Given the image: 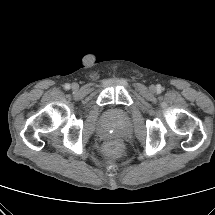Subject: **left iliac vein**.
Wrapping results in <instances>:
<instances>
[{
    "instance_id": "left-iliac-vein-1",
    "label": "left iliac vein",
    "mask_w": 215,
    "mask_h": 215,
    "mask_svg": "<svg viewBox=\"0 0 215 215\" xmlns=\"http://www.w3.org/2000/svg\"><path fill=\"white\" fill-rule=\"evenodd\" d=\"M155 90H156L155 86L151 85V86H150V91H151V92H155Z\"/></svg>"
}]
</instances>
